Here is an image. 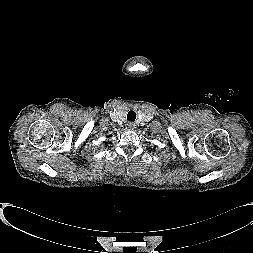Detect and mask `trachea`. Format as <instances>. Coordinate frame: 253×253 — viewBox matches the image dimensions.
Instances as JSON below:
<instances>
[{
    "mask_svg": "<svg viewBox=\"0 0 253 253\" xmlns=\"http://www.w3.org/2000/svg\"><path fill=\"white\" fill-rule=\"evenodd\" d=\"M135 119H136V113L133 110H130L127 114V120L135 121Z\"/></svg>",
    "mask_w": 253,
    "mask_h": 253,
    "instance_id": "1",
    "label": "trachea"
}]
</instances>
